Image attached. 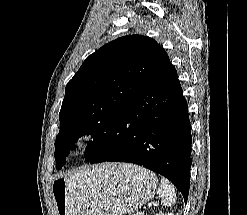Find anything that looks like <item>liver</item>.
<instances>
[{
    "label": "liver",
    "instance_id": "6515ba94",
    "mask_svg": "<svg viewBox=\"0 0 247 215\" xmlns=\"http://www.w3.org/2000/svg\"><path fill=\"white\" fill-rule=\"evenodd\" d=\"M103 170H106L107 172H111L113 170V164H103Z\"/></svg>",
    "mask_w": 247,
    "mask_h": 215
}]
</instances>
